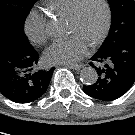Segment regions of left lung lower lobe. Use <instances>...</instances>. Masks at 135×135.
<instances>
[{
    "label": "left lung lower lobe",
    "mask_w": 135,
    "mask_h": 135,
    "mask_svg": "<svg viewBox=\"0 0 135 135\" xmlns=\"http://www.w3.org/2000/svg\"><path fill=\"white\" fill-rule=\"evenodd\" d=\"M97 81L83 86L84 92L101 101H113L124 95L135 82V37L99 49L91 58Z\"/></svg>",
    "instance_id": "1"
}]
</instances>
